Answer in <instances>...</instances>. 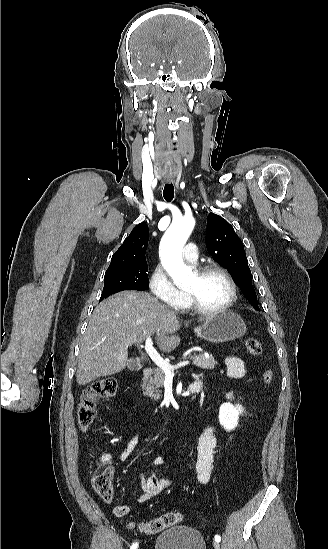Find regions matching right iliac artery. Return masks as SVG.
I'll return each mask as SVG.
<instances>
[{"label":"right iliac artery","mask_w":328,"mask_h":549,"mask_svg":"<svg viewBox=\"0 0 328 549\" xmlns=\"http://www.w3.org/2000/svg\"><path fill=\"white\" fill-rule=\"evenodd\" d=\"M137 547H138V543H134V544L131 546L130 549H137Z\"/></svg>","instance_id":"obj_1"}]
</instances>
